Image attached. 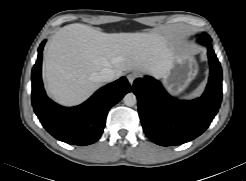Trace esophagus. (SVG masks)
<instances>
[{
    "instance_id": "34e87169",
    "label": "esophagus",
    "mask_w": 246,
    "mask_h": 181,
    "mask_svg": "<svg viewBox=\"0 0 246 181\" xmlns=\"http://www.w3.org/2000/svg\"><path fill=\"white\" fill-rule=\"evenodd\" d=\"M136 74H134V73H131V74H128L127 75V79H128V81H129V83H130V85L132 86L133 85V82H134V80L136 79Z\"/></svg>"
}]
</instances>
